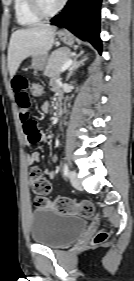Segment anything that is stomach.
<instances>
[{
	"label": "stomach",
	"mask_w": 134,
	"mask_h": 281,
	"mask_svg": "<svg viewBox=\"0 0 134 281\" xmlns=\"http://www.w3.org/2000/svg\"><path fill=\"white\" fill-rule=\"evenodd\" d=\"M57 34L60 40L66 45H72L74 43V37L71 33L66 31H59ZM46 64H47L46 55H36L32 57V68L34 70L37 71L43 70Z\"/></svg>",
	"instance_id": "obj_1"
}]
</instances>
